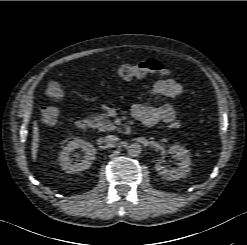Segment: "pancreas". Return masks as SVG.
<instances>
[{
    "label": "pancreas",
    "mask_w": 247,
    "mask_h": 245,
    "mask_svg": "<svg viewBox=\"0 0 247 245\" xmlns=\"http://www.w3.org/2000/svg\"><path fill=\"white\" fill-rule=\"evenodd\" d=\"M92 127L97 128L99 131L105 132V131H113L115 129V126L111 122L110 119H108L107 114H99L95 115L92 118Z\"/></svg>",
    "instance_id": "1"
}]
</instances>
